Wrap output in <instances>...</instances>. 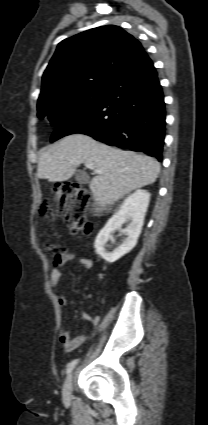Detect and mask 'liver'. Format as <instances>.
<instances>
[{"label": "liver", "mask_w": 208, "mask_h": 425, "mask_svg": "<svg viewBox=\"0 0 208 425\" xmlns=\"http://www.w3.org/2000/svg\"><path fill=\"white\" fill-rule=\"evenodd\" d=\"M86 162L102 170L89 185L95 202L102 207L153 184L160 171L159 162L152 157L107 146L87 135L72 134L42 152L37 177L50 182L65 181Z\"/></svg>", "instance_id": "6515ba94"}]
</instances>
